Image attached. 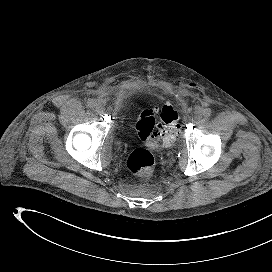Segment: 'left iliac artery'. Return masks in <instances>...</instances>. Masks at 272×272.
<instances>
[{"mask_svg":"<svg viewBox=\"0 0 272 272\" xmlns=\"http://www.w3.org/2000/svg\"><path fill=\"white\" fill-rule=\"evenodd\" d=\"M211 113H212L211 108H205V109L203 110V115H204L205 117H209V116L211 115Z\"/></svg>","mask_w":272,"mask_h":272,"instance_id":"44dca946","label":"left iliac artery"}]
</instances>
